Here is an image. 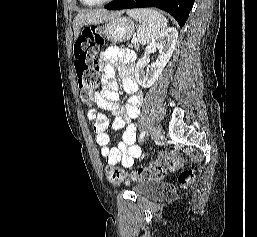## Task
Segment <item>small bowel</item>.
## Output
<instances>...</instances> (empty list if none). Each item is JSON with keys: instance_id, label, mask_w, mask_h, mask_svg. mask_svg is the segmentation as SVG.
<instances>
[{"instance_id": "c3829d8e", "label": "small bowel", "mask_w": 257, "mask_h": 237, "mask_svg": "<svg viewBox=\"0 0 257 237\" xmlns=\"http://www.w3.org/2000/svg\"><path fill=\"white\" fill-rule=\"evenodd\" d=\"M134 54L125 49L109 47L99 56L104 71L103 89L96 93L93 101L97 108L90 109L87 117L93 122V130L100 153L107 163H121L123 167L133 166L135 159L141 156V148L136 145L137 128L134 123L140 112L143 96L133 75ZM122 77L124 90L130 94L125 105L118 97L116 73ZM98 109L111 112L115 118L111 124L112 131L123 130L121 139L115 146L110 145L111 136L107 132L108 119Z\"/></svg>"}]
</instances>
